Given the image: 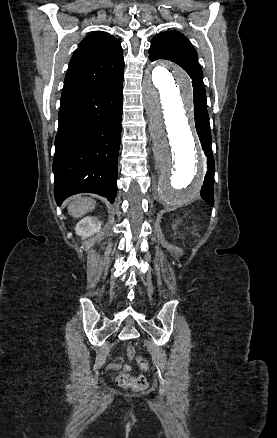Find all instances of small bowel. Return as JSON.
Segmentation results:
<instances>
[{"mask_svg": "<svg viewBox=\"0 0 277 438\" xmlns=\"http://www.w3.org/2000/svg\"><path fill=\"white\" fill-rule=\"evenodd\" d=\"M108 369L113 372H129L131 368L129 365L123 364L122 361L118 359L117 361L109 364Z\"/></svg>", "mask_w": 277, "mask_h": 438, "instance_id": "obj_1", "label": "small bowel"}]
</instances>
